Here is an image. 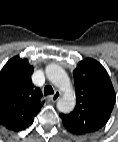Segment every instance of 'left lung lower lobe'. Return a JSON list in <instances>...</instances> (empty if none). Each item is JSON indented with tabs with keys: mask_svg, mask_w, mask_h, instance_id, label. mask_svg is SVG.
Segmentation results:
<instances>
[{
	"mask_svg": "<svg viewBox=\"0 0 118 142\" xmlns=\"http://www.w3.org/2000/svg\"><path fill=\"white\" fill-rule=\"evenodd\" d=\"M63 124H64V123H63ZM64 126H65V128H66L69 132H71V133H73V134H76V135H82V133L79 132L76 128H74V127H72V126H69V125H67V124H64Z\"/></svg>",
	"mask_w": 118,
	"mask_h": 142,
	"instance_id": "1",
	"label": "left lung lower lobe"
}]
</instances>
